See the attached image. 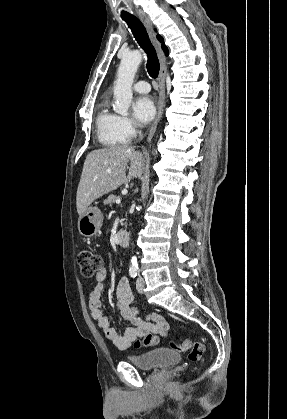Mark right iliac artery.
I'll return each mask as SVG.
<instances>
[{
  "instance_id": "obj_1",
  "label": "right iliac artery",
  "mask_w": 287,
  "mask_h": 419,
  "mask_svg": "<svg viewBox=\"0 0 287 419\" xmlns=\"http://www.w3.org/2000/svg\"><path fill=\"white\" fill-rule=\"evenodd\" d=\"M137 270H135V269H131V270H129V274H130V276L132 277V278H135L136 276H137Z\"/></svg>"
}]
</instances>
